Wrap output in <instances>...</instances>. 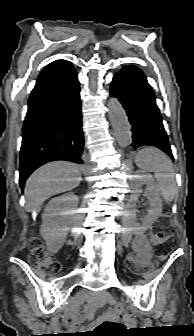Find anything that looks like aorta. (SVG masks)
I'll return each mask as SVG.
<instances>
[{
    "label": "aorta",
    "instance_id": "aorta-1",
    "mask_svg": "<svg viewBox=\"0 0 194 336\" xmlns=\"http://www.w3.org/2000/svg\"><path fill=\"white\" fill-rule=\"evenodd\" d=\"M108 109L116 141L125 148L131 143V126L126 112L119 100L113 97L108 101Z\"/></svg>",
    "mask_w": 194,
    "mask_h": 336
}]
</instances>
